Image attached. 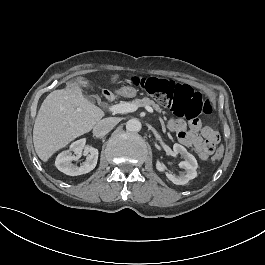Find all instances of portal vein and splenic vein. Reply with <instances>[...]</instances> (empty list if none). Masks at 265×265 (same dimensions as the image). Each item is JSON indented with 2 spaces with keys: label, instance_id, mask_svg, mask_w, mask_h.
Segmentation results:
<instances>
[{
  "label": "portal vein and splenic vein",
  "instance_id": "portal-vein-and-splenic-vein-1",
  "mask_svg": "<svg viewBox=\"0 0 265 265\" xmlns=\"http://www.w3.org/2000/svg\"><path fill=\"white\" fill-rule=\"evenodd\" d=\"M136 106L129 102H122L120 104H113L107 107V111L110 113L118 114V113H128L136 110ZM149 113H153L154 110L151 107H146Z\"/></svg>",
  "mask_w": 265,
  "mask_h": 265
}]
</instances>
